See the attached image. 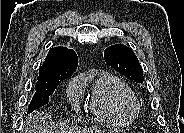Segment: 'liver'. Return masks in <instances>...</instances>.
Returning a JSON list of instances; mask_svg holds the SVG:
<instances>
[{
  "instance_id": "6515ba94",
  "label": "liver",
  "mask_w": 184,
  "mask_h": 133,
  "mask_svg": "<svg viewBox=\"0 0 184 133\" xmlns=\"http://www.w3.org/2000/svg\"><path fill=\"white\" fill-rule=\"evenodd\" d=\"M30 121H33V133H53L51 127L47 124L45 117L42 113H36L31 115L29 118ZM68 133H102L99 129H81V128H71Z\"/></svg>"
}]
</instances>
